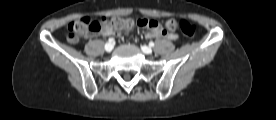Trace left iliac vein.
<instances>
[{
  "label": "left iliac vein",
  "mask_w": 276,
  "mask_h": 120,
  "mask_svg": "<svg viewBox=\"0 0 276 120\" xmlns=\"http://www.w3.org/2000/svg\"><path fill=\"white\" fill-rule=\"evenodd\" d=\"M142 51L145 53V54H148V55H150V54H152V49L150 48V47H148V46H142Z\"/></svg>",
  "instance_id": "1"
}]
</instances>
